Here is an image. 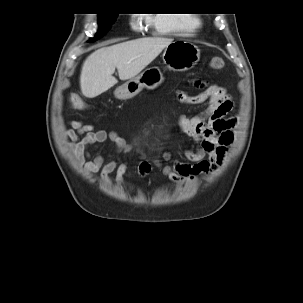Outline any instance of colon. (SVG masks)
Instances as JSON below:
<instances>
[{
	"mask_svg": "<svg viewBox=\"0 0 303 303\" xmlns=\"http://www.w3.org/2000/svg\"><path fill=\"white\" fill-rule=\"evenodd\" d=\"M209 67L211 69H222L224 67V60L218 57L212 58L209 62ZM71 103L75 109L85 110L87 109V105L83 102V100L78 96H73L71 98Z\"/></svg>",
	"mask_w": 303,
	"mask_h": 303,
	"instance_id": "colon-1",
	"label": "colon"
}]
</instances>
